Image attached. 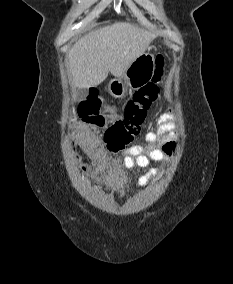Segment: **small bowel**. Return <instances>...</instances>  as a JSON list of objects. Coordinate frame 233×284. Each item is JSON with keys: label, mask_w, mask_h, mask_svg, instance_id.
<instances>
[{"label": "small bowel", "mask_w": 233, "mask_h": 284, "mask_svg": "<svg viewBox=\"0 0 233 284\" xmlns=\"http://www.w3.org/2000/svg\"><path fill=\"white\" fill-rule=\"evenodd\" d=\"M172 110L162 113L155 126L145 134V144L134 145L127 149L121 159H109L104 164L103 178L108 186L114 189L121 188L126 180V170L145 169L150 166L151 161H162L171 156L176 148L172 141L170 131L172 129ZM78 137L87 139V130L80 126ZM160 170L157 167L149 170L138 177L140 185H146L152 177H156Z\"/></svg>", "instance_id": "small-bowel-1"}]
</instances>
